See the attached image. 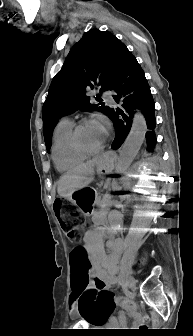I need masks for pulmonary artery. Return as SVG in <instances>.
Masks as SVG:
<instances>
[{"mask_svg": "<svg viewBox=\"0 0 193 336\" xmlns=\"http://www.w3.org/2000/svg\"><path fill=\"white\" fill-rule=\"evenodd\" d=\"M104 99H105V101L107 102V103H109V104H111V105H114L115 104V100H114V98L110 95V94H108V93H105L104 94ZM65 121H68V120H63L62 122H65Z\"/></svg>", "mask_w": 193, "mask_h": 336, "instance_id": "e3ab8cb5", "label": "pulmonary artery"}]
</instances>
